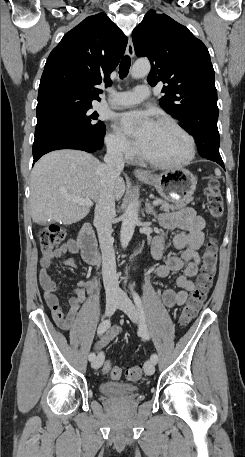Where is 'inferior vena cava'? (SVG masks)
I'll return each mask as SVG.
<instances>
[{"instance_id":"inferior-vena-cava-1","label":"inferior vena cava","mask_w":245,"mask_h":457,"mask_svg":"<svg viewBox=\"0 0 245 457\" xmlns=\"http://www.w3.org/2000/svg\"><path fill=\"white\" fill-rule=\"evenodd\" d=\"M124 140H117L108 146L103 166H99L101 190L95 206L94 224L97 229L102 253V277L106 295H118L119 283L116 275V261L111 237L112 218L116 216L113 184L124 168Z\"/></svg>"}]
</instances>
